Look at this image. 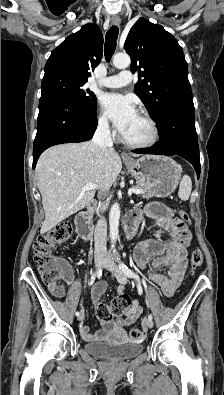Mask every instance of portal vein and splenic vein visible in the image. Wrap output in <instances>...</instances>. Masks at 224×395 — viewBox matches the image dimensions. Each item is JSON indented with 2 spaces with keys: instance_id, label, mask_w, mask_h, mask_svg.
Returning <instances> with one entry per match:
<instances>
[{
  "instance_id": "obj_1",
  "label": "portal vein and splenic vein",
  "mask_w": 224,
  "mask_h": 395,
  "mask_svg": "<svg viewBox=\"0 0 224 395\" xmlns=\"http://www.w3.org/2000/svg\"><path fill=\"white\" fill-rule=\"evenodd\" d=\"M95 188H96V185H94V184H92V183H89V184H87V185H85V186L82 187V189H83L84 191H90V190H93V189H95ZM132 193L141 194V193H143V191L140 190V189L131 188V189H129V191H128V195L131 196Z\"/></svg>"
}]
</instances>
